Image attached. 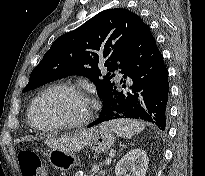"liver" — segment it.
I'll return each mask as SVG.
<instances>
[{"mask_svg": "<svg viewBox=\"0 0 205 176\" xmlns=\"http://www.w3.org/2000/svg\"><path fill=\"white\" fill-rule=\"evenodd\" d=\"M90 136L91 130H84L68 137L46 141V143L63 151H78L88 144Z\"/></svg>", "mask_w": 205, "mask_h": 176, "instance_id": "6515ba94", "label": "liver"}]
</instances>
